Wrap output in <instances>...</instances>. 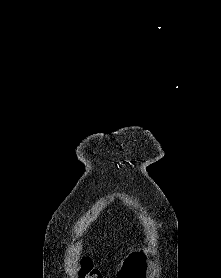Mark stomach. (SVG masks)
I'll use <instances>...</instances> for the list:
<instances>
[{
  "label": "stomach",
  "instance_id": "obj_1",
  "mask_svg": "<svg viewBox=\"0 0 221 278\" xmlns=\"http://www.w3.org/2000/svg\"><path fill=\"white\" fill-rule=\"evenodd\" d=\"M129 254V261L126 264H120L118 270L119 278H145L148 275V264L145 262H151V257L147 256L148 251L145 249H139Z\"/></svg>",
  "mask_w": 221,
  "mask_h": 278
}]
</instances>
